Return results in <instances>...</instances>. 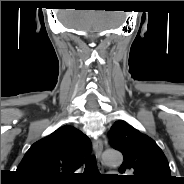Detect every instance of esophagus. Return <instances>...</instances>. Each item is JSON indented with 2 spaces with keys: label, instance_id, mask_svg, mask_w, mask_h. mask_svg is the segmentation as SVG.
<instances>
[{
  "label": "esophagus",
  "instance_id": "obj_1",
  "mask_svg": "<svg viewBox=\"0 0 184 184\" xmlns=\"http://www.w3.org/2000/svg\"><path fill=\"white\" fill-rule=\"evenodd\" d=\"M93 151L98 159V162L100 165L103 164L102 159H101V155H102V151H103V142L101 139L97 138L93 140Z\"/></svg>",
  "mask_w": 184,
  "mask_h": 184
}]
</instances>
